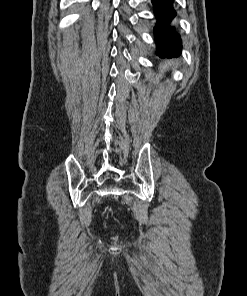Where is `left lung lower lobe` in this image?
<instances>
[{
	"mask_svg": "<svg viewBox=\"0 0 247 296\" xmlns=\"http://www.w3.org/2000/svg\"><path fill=\"white\" fill-rule=\"evenodd\" d=\"M157 24L154 28L157 43V54L160 57H175L181 52L180 36L170 26L171 20L176 16L173 9V0H152Z\"/></svg>",
	"mask_w": 247,
	"mask_h": 296,
	"instance_id": "1",
	"label": "left lung lower lobe"
}]
</instances>
